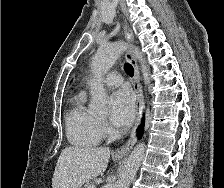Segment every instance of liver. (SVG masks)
<instances>
[{
    "label": "liver",
    "instance_id": "liver-1",
    "mask_svg": "<svg viewBox=\"0 0 224 188\" xmlns=\"http://www.w3.org/2000/svg\"><path fill=\"white\" fill-rule=\"evenodd\" d=\"M109 157L105 147H65L57 160L52 188H80L106 170Z\"/></svg>",
    "mask_w": 224,
    "mask_h": 188
}]
</instances>
